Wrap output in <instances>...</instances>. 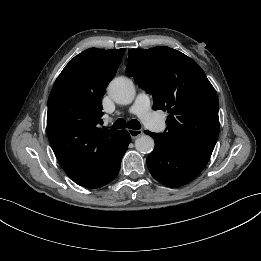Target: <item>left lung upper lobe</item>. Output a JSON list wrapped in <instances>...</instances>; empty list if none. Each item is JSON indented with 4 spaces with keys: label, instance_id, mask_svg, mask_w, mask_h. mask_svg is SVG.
<instances>
[{
    "label": "left lung upper lobe",
    "instance_id": "5c2ea615",
    "mask_svg": "<svg viewBox=\"0 0 261 261\" xmlns=\"http://www.w3.org/2000/svg\"><path fill=\"white\" fill-rule=\"evenodd\" d=\"M126 70L167 111V132L158 133L184 148L213 151L219 134L218 97L203 70L185 54L158 46L129 50Z\"/></svg>",
    "mask_w": 261,
    "mask_h": 261
}]
</instances>
